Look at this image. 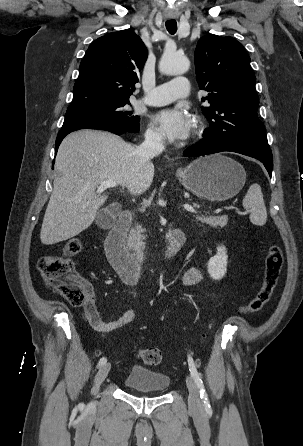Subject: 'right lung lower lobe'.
Wrapping results in <instances>:
<instances>
[{
  "instance_id": "98d812e1",
  "label": "right lung lower lobe",
  "mask_w": 303,
  "mask_h": 446,
  "mask_svg": "<svg viewBox=\"0 0 303 446\" xmlns=\"http://www.w3.org/2000/svg\"><path fill=\"white\" fill-rule=\"evenodd\" d=\"M79 129L106 130V131L115 133L117 135L133 133V132H130L127 129L123 128L122 126H120L116 123L110 122V121L97 120V119L85 120V121H81V122L75 123L73 125L64 127L59 131L57 138H56L55 151L57 152V149H58L61 141L67 134H69L73 131L79 130Z\"/></svg>"
}]
</instances>
